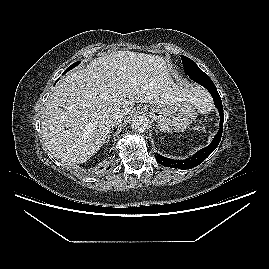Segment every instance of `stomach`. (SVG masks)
Instances as JSON below:
<instances>
[{
    "label": "stomach",
    "instance_id": "obj_1",
    "mask_svg": "<svg viewBox=\"0 0 269 269\" xmlns=\"http://www.w3.org/2000/svg\"><path fill=\"white\" fill-rule=\"evenodd\" d=\"M143 109L157 123V129L167 133L187 130L199 112L191 102L156 107L145 105Z\"/></svg>",
    "mask_w": 269,
    "mask_h": 269
}]
</instances>
